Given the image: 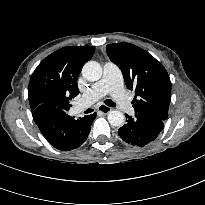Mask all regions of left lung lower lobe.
<instances>
[{"mask_svg":"<svg viewBox=\"0 0 205 205\" xmlns=\"http://www.w3.org/2000/svg\"><path fill=\"white\" fill-rule=\"evenodd\" d=\"M126 116V124L119 130V136L128 144L143 147L155 140L164 128V120L135 113Z\"/></svg>","mask_w":205,"mask_h":205,"instance_id":"left-lung-lower-lobe-1","label":"left lung lower lobe"}]
</instances>
